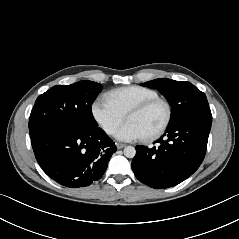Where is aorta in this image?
Wrapping results in <instances>:
<instances>
[{"label":"aorta","mask_w":239,"mask_h":239,"mask_svg":"<svg viewBox=\"0 0 239 239\" xmlns=\"http://www.w3.org/2000/svg\"><path fill=\"white\" fill-rule=\"evenodd\" d=\"M124 155L127 158H133L136 155V150L133 146H127L124 148Z\"/></svg>","instance_id":"1"}]
</instances>
